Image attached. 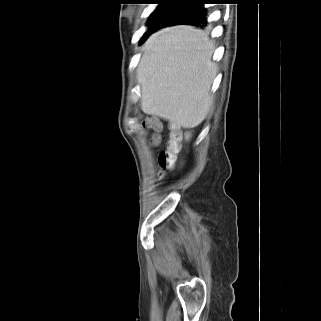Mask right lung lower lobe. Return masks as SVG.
Returning a JSON list of instances; mask_svg holds the SVG:
<instances>
[{"label": "right lung lower lobe", "instance_id": "98d812e1", "mask_svg": "<svg viewBox=\"0 0 321 321\" xmlns=\"http://www.w3.org/2000/svg\"><path fill=\"white\" fill-rule=\"evenodd\" d=\"M206 15L207 13L206 9L204 8V3L201 1L177 5L161 18L152 32L166 26L179 24H188L194 26L206 25Z\"/></svg>", "mask_w": 321, "mask_h": 321}]
</instances>
